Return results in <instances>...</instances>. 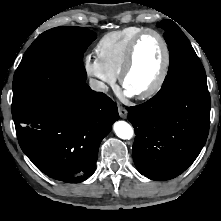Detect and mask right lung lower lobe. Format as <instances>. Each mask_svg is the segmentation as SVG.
I'll return each mask as SVG.
<instances>
[{"instance_id":"1","label":"right lung lower lobe","mask_w":221,"mask_h":221,"mask_svg":"<svg viewBox=\"0 0 221 221\" xmlns=\"http://www.w3.org/2000/svg\"><path fill=\"white\" fill-rule=\"evenodd\" d=\"M118 118L116 104L85 81L13 115L20 147L31 162L70 183L94 173L99 145Z\"/></svg>"}]
</instances>
